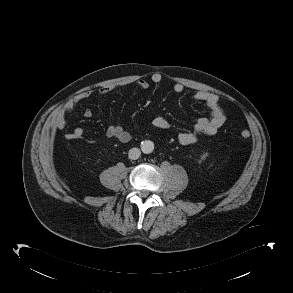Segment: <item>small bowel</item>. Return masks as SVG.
<instances>
[{
    "mask_svg": "<svg viewBox=\"0 0 293 293\" xmlns=\"http://www.w3.org/2000/svg\"><path fill=\"white\" fill-rule=\"evenodd\" d=\"M150 80L153 84H159L162 77L159 73H154ZM134 86L140 90H148L150 84L148 81L140 79L135 82ZM114 89V86H105L98 91V94L103 96L112 92ZM173 91L175 93H182L184 91V86L181 83H175ZM90 96V91H83L75 95L62 108L54 112L50 119V125L57 129H64L67 126V114L72 112L81 101ZM192 99L205 103L209 111V116L197 119L191 131L181 132L178 135V141L181 145H191L197 142L202 136H212L216 134L226 121V115L217 94L205 90H198L192 95ZM93 115V111L89 108L84 111L85 118H92ZM152 124L155 128L160 130L171 129L170 123L163 117H156L152 121ZM106 133L108 137L115 138L123 143L129 142L132 138V134L126 128L117 124L110 125ZM82 135L83 129L77 127L65 134V138L68 140H77L80 139Z\"/></svg>",
    "mask_w": 293,
    "mask_h": 293,
    "instance_id": "obj_1",
    "label": "small bowel"
}]
</instances>
